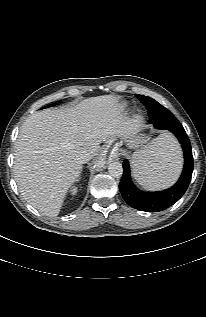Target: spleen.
Instances as JSON below:
<instances>
[{"label":"spleen","mask_w":206,"mask_h":317,"mask_svg":"<svg viewBox=\"0 0 206 317\" xmlns=\"http://www.w3.org/2000/svg\"><path fill=\"white\" fill-rule=\"evenodd\" d=\"M181 165L180 146L168 133L161 134L149 146L136 151L131 161L134 178L149 190L171 186L178 178Z\"/></svg>","instance_id":"obj_1"}]
</instances>
